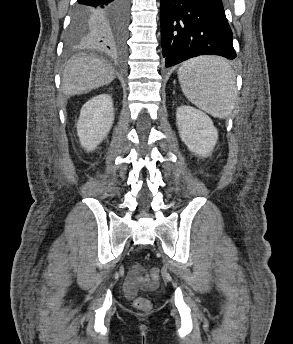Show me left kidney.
Segmentation results:
<instances>
[{
  "mask_svg": "<svg viewBox=\"0 0 293 344\" xmlns=\"http://www.w3.org/2000/svg\"><path fill=\"white\" fill-rule=\"evenodd\" d=\"M176 122L181 140L195 155L208 157L218 140V131L211 118L191 106L176 110Z\"/></svg>",
  "mask_w": 293,
  "mask_h": 344,
  "instance_id": "5707ae66",
  "label": "left kidney"
}]
</instances>
